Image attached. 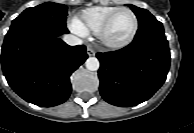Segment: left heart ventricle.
Segmentation results:
<instances>
[{
	"instance_id": "b2bd125f",
	"label": "left heart ventricle",
	"mask_w": 194,
	"mask_h": 133,
	"mask_svg": "<svg viewBox=\"0 0 194 133\" xmlns=\"http://www.w3.org/2000/svg\"><path fill=\"white\" fill-rule=\"evenodd\" d=\"M134 28V18L130 12L122 11L113 20L107 37L110 41L121 42L127 39Z\"/></svg>"
}]
</instances>
